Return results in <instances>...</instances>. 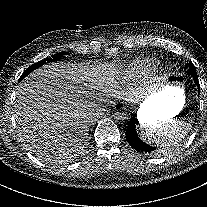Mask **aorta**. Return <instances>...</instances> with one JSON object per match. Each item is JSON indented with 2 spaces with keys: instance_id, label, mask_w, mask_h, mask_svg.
I'll return each instance as SVG.
<instances>
[{
  "instance_id": "762f6f07",
  "label": "aorta",
  "mask_w": 207,
  "mask_h": 207,
  "mask_svg": "<svg viewBox=\"0 0 207 207\" xmlns=\"http://www.w3.org/2000/svg\"><path fill=\"white\" fill-rule=\"evenodd\" d=\"M114 119L118 123H125L130 119V114L125 108H120L114 113Z\"/></svg>"
}]
</instances>
